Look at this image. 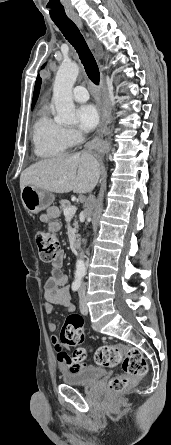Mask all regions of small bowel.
<instances>
[{
	"label": "small bowel",
	"mask_w": 171,
	"mask_h": 445,
	"mask_svg": "<svg viewBox=\"0 0 171 445\" xmlns=\"http://www.w3.org/2000/svg\"><path fill=\"white\" fill-rule=\"evenodd\" d=\"M46 225L50 231H58L59 223L53 220H47ZM64 262L63 252H59L52 262V270L50 277L46 280L43 289V295L46 300L44 310L47 314H50L54 305L62 306L67 312L74 311V305L71 302V296L68 288V276L65 274L61 267ZM47 328L50 332L57 330V324L53 321L48 322ZM50 341L57 354V360L61 367L68 371H74L84 367L81 361H76L65 350L64 346L60 343L57 335H52Z\"/></svg>",
	"instance_id": "small-bowel-1"
}]
</instances>
